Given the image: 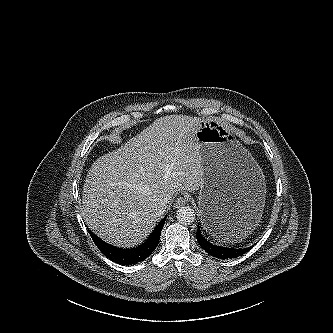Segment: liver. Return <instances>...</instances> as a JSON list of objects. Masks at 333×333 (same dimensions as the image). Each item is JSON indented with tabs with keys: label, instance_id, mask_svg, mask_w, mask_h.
Returning <instances> with one entry per match:
<instances>
[{
	"label": "liver",
	"instance_id": "obj_1",
	"mask_svg": "<svg viewBox=\"0 0 333 333\" xmlns=\"http://www.w3.org/2000/svg\"><path fill=\"white\" fill-rule=\"evenodd\" d=\"M201 119L169 115L156 119L119 149L98 158L83 186L81 215L106 242L141 243L181 190L197 191L203 169L196 139Z\"/></svg>",
	"mask_w": 333,
	"mask_h": 333
}]
</instances>
